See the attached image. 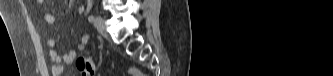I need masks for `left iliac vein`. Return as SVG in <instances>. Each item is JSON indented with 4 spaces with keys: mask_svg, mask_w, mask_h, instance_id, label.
I'll list each match as a JSON object with an SVG mask.
<instances>
[{
    "mask_svg": "<svg viewBox=\"0 0 333 76\" xmlns=\"http://www.w3.org/2000/svg\"><path fill=\"white\" fill-rule=\"evenodd\" d=\"M95 26H96V29L98 30V32L103 35V36H107V31H106V23H105V20L103 17L101 16H98L96 18V21H95Z\"/></svg>",
    "mask_w": 333,
    "mask_h": 76,
    "instance_id": "obj_1",
    "label": "left iliac vein"
}]
</instances>
